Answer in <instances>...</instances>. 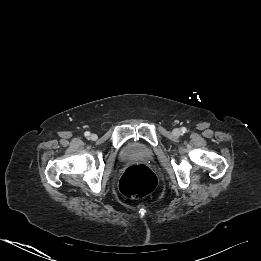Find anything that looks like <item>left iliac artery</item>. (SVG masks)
<instances>
[{
	"label": "left iliac artery",
	"mask_w": 261,
	"mask_h": 261,
	"mask_svg": "<svg viewBox=\"0 0 261 261\" xmlns=\"http://www.w3.org/2000/svg\"><path fill=\"white\" fill-rule=\"evenodd\" d=\"M182 132L185 133L186 132V128H182Z\"/></svg>",
	"instance_id": "1"
}]
</instances>
